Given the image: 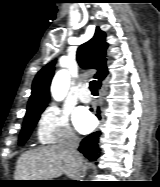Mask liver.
<instances>
[{
    "label": "liver",
    "instance_id": "6515ba94",
    "mask_svg": "<svg viewBox=\"0 0 160 187\" xmlns=\"http://www.w3.org/2000/svg\"><path fill=\"white\" fill-rule=\"evenodd\" d=\"M81 159V158H80ZM82 169L64 145L40 147L23 153L15 171V180H50L61 174L68 178H78Z\"/></svg>",
    "mask_w": 160,
    "mask_h": 187
}]
</instances>
